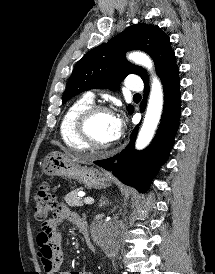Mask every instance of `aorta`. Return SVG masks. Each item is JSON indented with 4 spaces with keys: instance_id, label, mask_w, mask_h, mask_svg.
Wrapping results in <instances>:
<instances>
[{
    "instance_id": "obj_1",
    "label": "aorta",
    "mask_w": 215,
    "mask_h": 274,
    "mask_svg": "<svg viewBox=\"0 0 215 274\" xmlns=\"http://www.w3.org/2000/svg\"><path fill=\"white\" fill-rule=\"evenodd\" d=\"M128 59L136 64L146 67L148 70H152V61L144 53L132 52L128 55ZM162 108L163 90L159 80L154 77L146 115L136 140V148L138 150L144 149L152 140L162 114Z\"/></svg>"
}]
</instances>
